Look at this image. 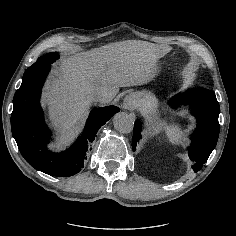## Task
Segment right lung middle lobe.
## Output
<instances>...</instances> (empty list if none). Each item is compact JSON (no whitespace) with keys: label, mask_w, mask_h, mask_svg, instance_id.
<instances>
[{"label":"right lung middle lobe","mask_w":236,"mask_h":236,"mask_svg":"<svg viewBox=\"0 0 236 236\" xmlns=\"http://www.w3.org/2000/svg\"><path fill=\"white\" fill-rule=\"evenodd\" d=\"M58 57L59 55L56 52L48 53L42 57H39L37 61L25 71L24 75L28 74L30 71L50 65L58 59Z\"/></svg>","instance_id":"dd1d6c3e"}]
</instances>
